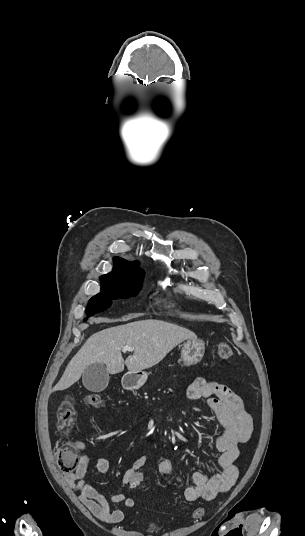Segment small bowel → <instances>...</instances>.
Returning a JSON list of instances; mask_svg holds the SVG:
<instances>
[{
  "mask_svg": "<svg viewBox=\"0 0 305 536\" xmlns=\"http://www.w3.org/2000/svg\"><path fill=\"white\" fill-rule=\"evenodd\" d=\"M187 397L190 400L206 399L208 406L225 427L223 433L209 436L210 443L220 452L219 472L211 477L201 472L194 473L192 484L184 491V498L187 501L192 502L198 499L212 501L235 484L239 474L235 461L239 456L240 447L247 443L252 435L253 422L239 395L226 385L198 377L187 388ZM147 460L146 456H141L133 465L142 469ZM89 461V456L83 453L74 472L66 475L65 479L69 486L79 494L82 503L98 520L107 524L119 523L124 517V510L133 508L135 501L127 497L125 493L119 492L112 497V501L121 504L123 509L111 510L104 496L84 481ZM156 467L161 474L167 477L169 482L182 481L172 460L168 457L158 456ZM109 470L110 463L106 458L100 457L96 460L98 474L105 475ZM130 470L131 467L124 473V486H130L132 481L129 476Z\"/></svg>",
  "mask_w": 305,
  "mask_h": 536,
  "instance_id": "small-bowel-1",
  "label": "small bowel"
}]
</instances>
